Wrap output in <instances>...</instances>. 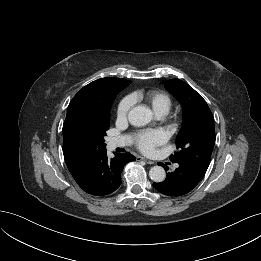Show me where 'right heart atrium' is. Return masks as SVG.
Masks as SVG:
<instances>
[{"mask_svg": "<svg viewBox=\"0 0 261 261\" xmlns=\"http://www.w3.org/2000/svg\"><path fill=\"white\" fill-rule=\"evenodd\" d=\"M132 105H133V100L130 96L123 98L119 102L117 106V112H116L117 119L119 121H124L127 119L129 112L132 108Z\"/></svg>", "mask_w": 261, "mask_h": 261, "instance_id": "1", "label": "right heart atrium"}]
</instances>
